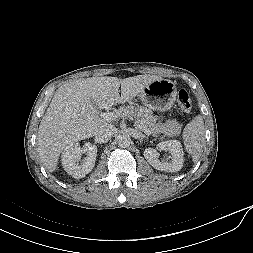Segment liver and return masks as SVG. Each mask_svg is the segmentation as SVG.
<instances>
[{
	"label": "liver",
	"instance_id": "liver-1",
	"mask_svg": "<svg viewBox=\"0 0 253 253\" xmlns=\"http://www.w3.org/2000/svg\"><path fill=\"white\" fill-rule=\"evenodd\" d=\"M158 79L162 78L147 74L125 79L91 77L59 87L39 125L38 152L44 167L49 172L56 170L60 153L68 145L94 136L100 126L107 124L92 102L100 108L127 102Z\"/></svg>",
	"mask_w": 253,
	"mask_h": 253
}]
</instances>
